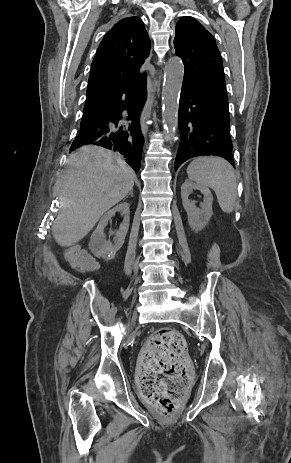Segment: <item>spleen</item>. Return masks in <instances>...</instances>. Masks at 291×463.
Returning a JSON list of instances; mask_svg holds the SVG:
<instances>
[{"label": "spleen", "instance_id": "obj_1", "mask_svg": "<svg viewBox=\"0 0 291 463\" xmlns=\"http://www.w3.org/2000/svg\"><path fill=\"white\" fill-rule=\"evenodd\" d=\"M187 174L190 180L214 190L223 212H233L237 182L234 170L227 161L215 157L197 158L187 167Z\"/></svg>", "mask_w": 291, "mask_h": 463}]
</instances>
